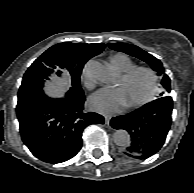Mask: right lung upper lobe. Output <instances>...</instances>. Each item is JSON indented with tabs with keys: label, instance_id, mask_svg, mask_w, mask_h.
Returning <instances> with one entry per match:
<instances>
[{
	"label": "right lung upper lobe",
	"instance_id": "obj_1",
	"mask_svg": "<svg viewBox=\"0 0 194 193\" xmlns=\"http://www.w3.org/2000/svg\"><path fill=\"white\" fill-rule=\"evenodd\" d=\"M104 48L103 43H60L44 52L34 61L29 70L48 76L52 73L57 75L68 71L72 67L83 68L88 59L100 54Z\"/></svg>",
	"mask_w": 194,
	"mask_h": 193
}]
</instances>
